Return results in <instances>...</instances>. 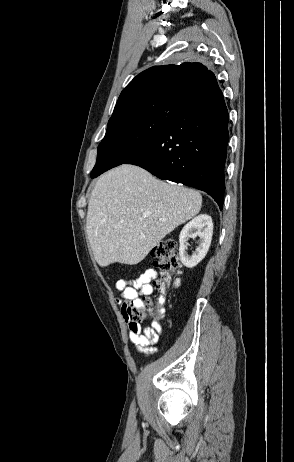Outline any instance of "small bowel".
Returning a JSON list of instances; mask_svg holds the SVG:
<instances>
[{
	"label": "small bowel",
	"instance_id": "small-bowel-1",
	"mask_svg": "<svg viewBox=\"0 0 294 462\" xmlns=\"http://www.w3.org/2000/svg\"><path fill=\"white\" fill-rule=\"evenodd\" d=\"M158 277L153 268H145L136 278L120 279L115 283V289L120 293L117 302L121 306V313L128 323V337L136 349L146 355L156 352L155 344L162 334L159 321H154L150 327H142L132 320L128 307L130 305L141 306L140 296H149L153 293L152 283ZM164 300L160 298L159 306L162 307Z\"/></svg>",
	"mask_w": 294,
	"mask_h": 462
}]
</instances>
